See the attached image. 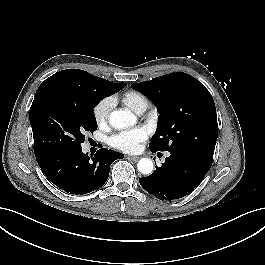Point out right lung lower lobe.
Here are the masks:
<instances>
[{"instance_id": "right-lung-lower-lobe-1", "label": "right lung lower lobe", "mask_w": 265, "mask_h": 265, "mask_svg": "<svg viewBox=\"0 0 265 265\" xmlns=\"http://www.w3.org/2000/svg\"><path fill=\"white\" fill-rule=\"evenodd\" d=\"M123 157L104 148L90 158L80 147L50 152L36 159L42 172L57 187L70 194H86L103 186L111 163Z\"/></svg>"}]
</instances>
